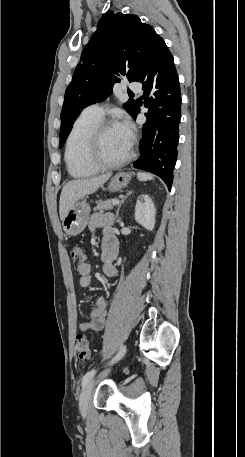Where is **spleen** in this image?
<instances>
[{"label": "spleen", "mask_w": 245, "mask_h": 457, "mask_svg": "<svg viewBox=\"0 0 245 457\" xmlns=\"http://www.w3.org/2000/svg\"><path fill=\"white\" fill-rule=\"evenodd\" d=\"M137 176L139 180H152L153 178L152 174H149V172H138Z\"/></svg>", "instance_id": "obj_1"}]
</instances>
